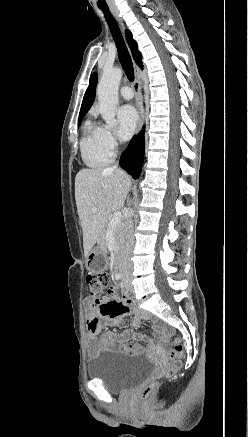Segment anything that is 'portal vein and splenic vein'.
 I'll return each instance as SVG.
<instances>
[{"mask_svg": "<svg viewBox=\"0 0 248 437\" xmlns=\"http://www.w3.org/2000/svg\"><path fill=\"white\" fill-rule=\"evenodd\" d=\"M93 211L95 212V211H97V209L94 208ZM121 218H122L121 212H118V211L115 212L112 216V219L110 220L109 227L115 228L118 224H120Z\"/></svg>", "mask_w": 248, "mask_h": 437, "instance_id": "1", "label": "portal vein and splenic vein"}]
</instances>
